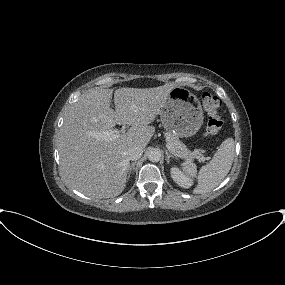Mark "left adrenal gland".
<instances>
[{"label":"left adrenal gland","instance_id":"a2214340","mask_svg":"<svg viewBox=\"0 0 285 285\" xmlns=\"http://www.w3.org/2000/svg\"><path fill=\"white\" fill-rule=\"evenodd\" d=\"M166 161H167V163H169V161H170V158H175L173 155H171L167 150H166Z\"/></svg>","mask_w":285,"mask_h":285}]
</instances>
